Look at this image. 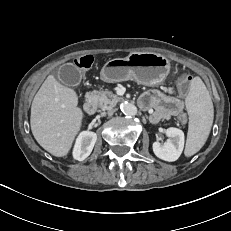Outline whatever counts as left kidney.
<instances>
[{"label": "left kidney", "mask_w": 231, "mask_h": 231, "mask_svg": "<svg viewBox=\"0 0 231 231\" xmlns=\"http://www.w3.org/2000/svg\"><path fill=\"white\" fill-rule=\"evenodd\" d=\"M166 136L169 139L164 144L158 141L153 143V152L158 158L173 162L180 157L183 151L185 142L184 132L178 128L169 127L166 129Z\"/></svg>", "instance_id": "5707ae66"}]
</instances>
